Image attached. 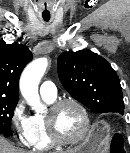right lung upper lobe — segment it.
Wrapping results in <instances>:
<instances>
[{"mask_svg": "<svg viewBox=\"0 0 130 153\" xmlns=\"http://www.w3.org/2000/svg\"><path fill=\"white\" fill-rule=\"evenodd\" d=\"M32 57L25 45L0 41V98L18 101L19 76Z\"/></svg>", "mask_w": 130, "mask_h": 153, "instance_id": "right-lung-upper-lobe-1", "label": "right lung upper lobe"}]
</instances>
